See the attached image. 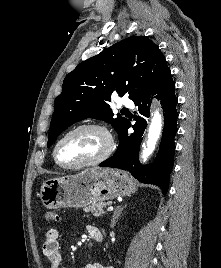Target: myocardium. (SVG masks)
<instances>
[{"label":"myocardium","instance_id":"f54148a6","mask_svg":"<svg viewBox=\"0 0 221 268\" xmlns=\"http://www.w3.org/2000/svg\"><path fill=\"white\" fill-rule=\"evenodd\" d=\"M83 129H94V130H98V131L102 132L107 139V146H106L105 150L103 151L102 154H100L96 158H94L90 161L81 163V164L67 165V164L62 163L58 158V149H59L61 143L69 135H71L79 130H83ZM114 149H115V142H114V139H113L111 132L108 130L107 127H105L104 125L98 124V123H84V124H80V125L73 127L72 129L68 130L65 134H63L59 138V140L56 142L54 149H53V158H54L55 162L60 167H62L64 169L77 170V169H82V168H86V167H90V166H94V165L102 163L103 161L107 160L113 154Z\"/></svg>","mask_w":221,"mask_h":268}]
</instances>
